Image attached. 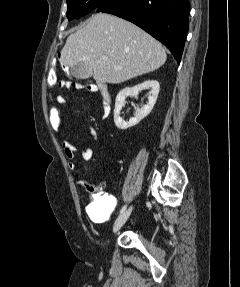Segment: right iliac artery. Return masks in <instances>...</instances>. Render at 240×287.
<instances>
[{
  "label": "right iliac artery",
  "mask_w": 240,
  "mask_h": 287,
  "mask_svg": "<svg viewBox=\"0 0 240 287\" xmlns=\"http://www.w3.org/2000/svg\"><path fill=\"white\" fill-rule=\"evenodd\" d=\"M125 210H126V205H124V206L121 208L120 214H122Z\"/></svg>",
  "instance_id": "1"
}]
</instances>
